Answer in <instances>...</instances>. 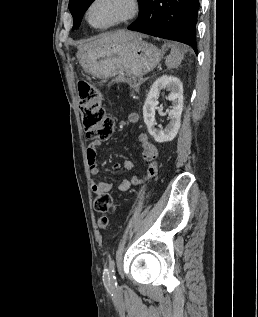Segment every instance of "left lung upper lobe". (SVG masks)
Returning a JSON list of instances; mask_svg holds the SVG:
<instances>
[{"label":"left lung upper lobe","instance_id":"obj_1","mask_svg":"<svg viewBox=\"0 0 258 317\" xmlns=\"http://www.w3.org/2000/svg\"><path fill=\"white\" fill-rule=\"evenodd\" d=\"M94 0H70L69 10L73 16L74 24L73 29H77L80 26L84 12L88 9ZM140 5L144 0H138Z\"/></svg>","mask_w":258,"mask_h":317}]
</instances>
